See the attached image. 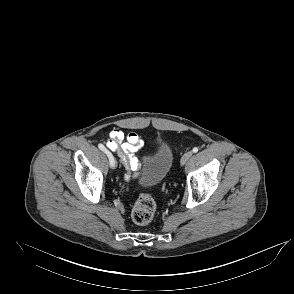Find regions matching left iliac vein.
<instances>
[{"mask_svg": "<svg viewBox=\"0 0 294 294\" xmlns=\"http://www.w3.org/2000/svg\"><path fill=\"white\" fill-rule=\"evenodd\" d=\"M193 155L192 151H187L181 158V165L183 166Z\"/></svg>", "mask_w": 294, "mask_h": 294, "instance_id": "1", "label": "left iliac vein"}]
</instances>
